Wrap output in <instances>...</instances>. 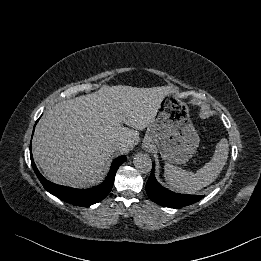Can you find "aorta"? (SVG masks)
Returning <instances> with one entry per match:
<instances>
[{"label": "aorta", "instance_id": "obj_1", "mask_svg": "<svg viewBox=\"0 0 261 261\" xmlns=\"http://www.w3.org/2000/svg\"><path fill=\"white\" fill-rule=\"evenodd\" d=\"M134 166L142 173H148L152 168V161L147 154L138 153L133 159Z\"/></svg>", "mask_w": 261, "mask_h": 261}]
</instances>
